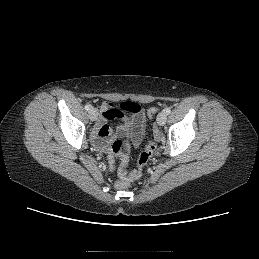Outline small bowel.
<instances>
[{
	"label": "small bowel",
	"instance_id": "c3829d8e",
	"mask_svg": "<svg viewBox=\"0 0 259 259\" xmlns=\"http://www.w3.org/2000/svg\"><path fill=\"white\" fill-rule=\"evenodd\" d=\"M139 106V105H138ZM124 110L114 107L109 102H104L99 107V118L95 131L96 145L104 149L112 137H128L131 142L138 146L143 138V128L145 117L139 106V110L126 116ZM114 119H120L121 124L113 129L109 122Z\"/></svg>",
	"mask_w": 259,
	"mask_h": 259
}]
</instances>
